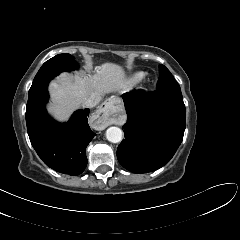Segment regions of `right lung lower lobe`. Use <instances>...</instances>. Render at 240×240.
Wrapping results in <instances>:
<instances>
[{
  "label": "right lung lower lobe",
  "instance_id": "obj_1",
  "mask_svg": "<svg viewBox=\"0 0 240 240\" xmlns=\"http://www.w3.org/2000/svg\"><path fill=\"white\" fill-rule=\"evenodd\" d=\"M29 92L26 107L27 131L32 146L42 161L57 172L77 176L86 165V147L95 136L88 125L89 109L76 111L64 124L46 112L48 83Z\"/></svg>",
  "mask_w": 240,
  "mask_h": 240
}]
</instances>
